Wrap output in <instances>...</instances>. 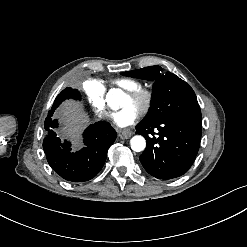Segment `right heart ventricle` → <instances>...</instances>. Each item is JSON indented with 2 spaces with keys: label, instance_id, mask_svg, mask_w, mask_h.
Here are the masks:
<instances>
[{
  "label": "right heart ventricle",
  "instance_id": "right-heart-ventricle-1",
  "mask_svg": "<svg viewBox=\"0 0 247 247\" xmlns=\"http://www.w3.org/2000/svg\"><path fill=\"white\" fill-rule=\"evenodd\" d=\"M118 85L127 91H134L140 87L139 83L127 79L118 81Z\"/></svg>",
  "mask_w": 247,
  "mask_h": 247
}]
</instances>
